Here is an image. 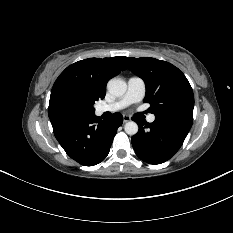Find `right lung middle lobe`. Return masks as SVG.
<instances>
[{
  "mask_svg": "<svg viewBox=\"0 0 233 233\" xmlns=\"http://www.w3.org/2000/svg\"><path fill=\"white\" fill-rule=\"evenodd\" d=\"M94 101L72 91H65L57 95L52 103V111L60 115H85L94 113Z\"/></svg>",
  "mask_w": 233,
  "mask_h": 233,
  "instance_id": "right-lung-middle-lobe-1",
  "label": "right lung middle lobe"
}]
</instances>
